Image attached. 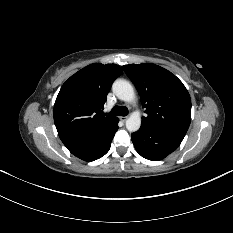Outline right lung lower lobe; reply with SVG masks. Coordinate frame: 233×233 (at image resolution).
<instances>
[{"mask_svg":"<svg viewBox=\"0 0 233 233\" xmlns=\"http://www.w3.org/2000/svg\"><path fill=\"white\" fill-rule=\"evenodd\" d=\"M118 118L99 126L81 137L64 141L67 149L84 161H94L104 156L110 149L111 141L118 130Z\"/></svg>","mask_w":233,"mask_h":233,"instance_id":"obj_1","label":"right lung lower lobe"}]
</instances>
